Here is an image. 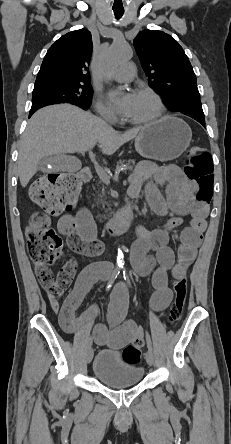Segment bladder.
Instances as JSON below:
<instances>
[{
    "label": "bladder",
    "instance_id": "bladder-1",
    "mask_svg": "<svg viewBox=\"0 0 231 444\" xmlns=\"http://www.w3.org/2000/svg\"><path fill=\"white\" fill-rule=\"evenodd\" d=\"M92 374L108 387L125 388L141 382L144 368L120 352L101 350L93 360Z\"/></svg>",
    "mask_w": 231,
    "mask_h": 444
}]
</instances>
